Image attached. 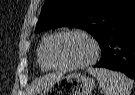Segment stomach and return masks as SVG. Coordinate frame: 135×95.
Returning a JSON list of instances; mask_svg holds the SVG:
<instances>
[{"label": "stomach", "instance_id": "stomach-1", "mask_svg": "<svg viewBox=\"0 0 135 95\" xmlns=\"http://www.w3.org/2000/svg\"><path fill=\"white\" fill-rule=\"evenodd\" d=\"M95 87L93 78L70 73L50 81L36 95H90Z\"/></svg>", "mask_w": 135, "mask_h": 95}]
</instances>
